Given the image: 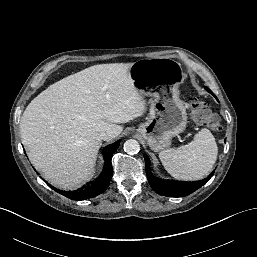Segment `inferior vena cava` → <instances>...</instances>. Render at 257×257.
I'll return each mask as SVG.
<instances>
[{"instance_id": "inferior-vena-cava-1", "label": "inferior vena cava", "mask_w": 257, "mask_h": 257, "mask_svg": "<svg viewBox=\"0 0 257 257\" xmlns=\"http://www.w3.org/2000/svg\"><path fill=\"white\" fill-rule=\"evenodd\" d=\"M101 140L109 141L116 137V133L113 131H105L99 134Z\"/></svg>"}]
</instances>
